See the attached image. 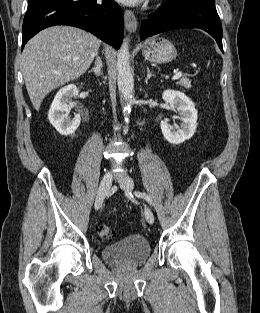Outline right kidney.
<instances>
[{
	"mask_svg": "<svg viewBox=\"0 0 260 313\" xmlns=\"http://www.w3.org/2000/svg\"><path fill=\"white\" fill-rule=\"evenodd\" d=\"M79 89L76 85L70 84L58 91L48 112L49 122L61 135L68 136L75 133L80 125L79 114L69 118L67 113L72 106V98L76 97Z\"/></svg>",
	"mask_w": 260,
	"mask_h": 313,
	"instance_id": "ca27d5eb",
	"label": "right kidney"
}]
</instances>
